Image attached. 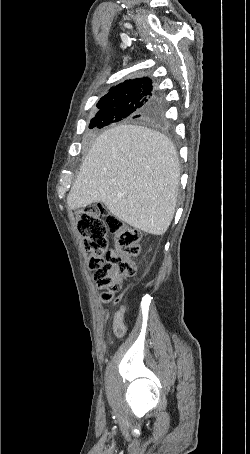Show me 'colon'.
<instances>
[{"label":"colon","mask_w":250,"mask_h":454,"mask_svg":"<svg viewBox=\"0 0 250 454\" xmlns=\"http://www.w3.org/2000/svg\"><path fill=\"white\" fill-rule=\"evenodd\" d=\"M77 229L89 253V268L108 303L120 290L122 279L135 274L133 258L140 252V233L106 214L100 205H87L77 212ZM112 233V248L108 234Z\"/></svg>","instance_id":"5ec220e1"}]
</instances>
